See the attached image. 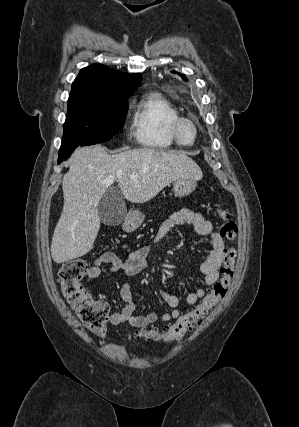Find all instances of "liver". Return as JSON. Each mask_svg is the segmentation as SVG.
Wrapping results in <instances>:
<instances>
[{
  "label": "liver",
  "mask_w": 299,
  "mask_h": 427,
  "mask_svg": "<svg viewBox=\"0 0 299 427\" xmlns=\"http://www.w3.org/2000/svg\"><path fill=\"white\" fill-rule=\"evenodd\" d=\"M69 164V172L62 180L63 211L51 242L52 259L58 264L81 257L93 248L101 221L97 205L108 187L103 180L114 178L126 200L144 203L179 178H202L200 167L186 154L152 148L109 155L100 145L80 147Z\"/></svg>",
  "instance_id": "6515ba94"
}]
</instances>
